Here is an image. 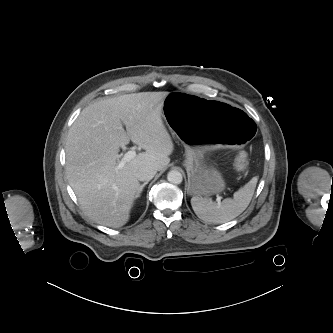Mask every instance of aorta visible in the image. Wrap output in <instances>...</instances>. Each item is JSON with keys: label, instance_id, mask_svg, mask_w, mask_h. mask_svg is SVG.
Returning a JSON list of instances; mask_svg holds the SVG:
<instances>
[{"label": "aorta", "instance_id": "762f6f07", "mask_svg": "<svg viewBox=\"0 0 333 333\" xmlns=\"http://www.w3.org/2000/svg\"><path fill=\"white\" fill-rule=\"evenodd\" d=\"M167 179L172 184H181L183 181L182 174L176 170L170 171L167 175Z\"/></svg>", "mask_w": 333, "mask_h": 333}]
</instances>
